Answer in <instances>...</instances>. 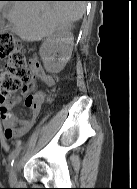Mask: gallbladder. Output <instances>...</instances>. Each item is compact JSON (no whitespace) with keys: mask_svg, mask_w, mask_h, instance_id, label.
Wrapping results in <instances>:
<instances>
[{"mask_svg":"<svg viewBox=\"0 0 137 189\" xmlns=\"http://www.w3.org/2000/svg\"><path fill=\"white\" fill-rule=\"evenodd\" d=\"M10 9H12V5L11 4H7L4 8V12L8 13L10 11Z\"/></svg>","mask_w":137,"mask_h":189,"instance_id":"obj_1","label":"gallbladder"}]
</instances>
